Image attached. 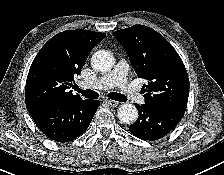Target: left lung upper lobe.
Instances as JSON below:
<instances>
[{
	"label": "left lung upper lobe",
	"mask_w": 224,
	"mask_h": 175,
	"mask_svg": "<svg viewBox=\"0 0 224 175\" xmlns=\"http://www.w3.org/2000/svg\"><path fill=\"white\" fill-rule=\"evenodd\" d=\"M113 35L126 49L138 77L148 81L142 88L145 103L185 111L189 78L173 46L144 25L118 30Z\"/></svg>",
	"instance_id": "1"
}]
</instances>
